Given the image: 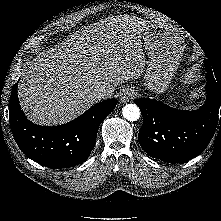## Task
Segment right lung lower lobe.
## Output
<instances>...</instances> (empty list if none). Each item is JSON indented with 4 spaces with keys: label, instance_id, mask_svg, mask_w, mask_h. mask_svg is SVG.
<instances>
[{
    "label": "right lung lower lobe",
    "instance_id": "98d812e1",
    "mask_svg": "<svg viewBox=\"0 0 221 221\" xmlns=\"http://www.w3.org/2000/svg\"><path fill=\"white\" fill-rule=\"evenodd\" d=\"M16 83L9 101L10 126L22 152L33 161L51 168L71 167L84 162L96 143L101 122L117 105L116 99L100 102L73 121L54 127L31 123L23 114Z\"/></svg>",
    "mask_w": 221,
    "mask_h": 221
}]
</instances>
